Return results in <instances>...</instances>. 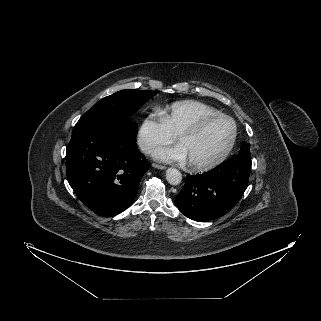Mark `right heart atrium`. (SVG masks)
<instances>
[{
    "label": "right heart atrium",
    "instance_id": "1",
    "mask_svg": "<svg viewBox=\"0 0 321 321\" xmlns=\"http://www.w3.org/2000/svg\"><path fill=\"white\" fill-rule=\"evenodd\" d=\"M137 138L140 148L150 154L155 149L170 144L174 135L166 128L161 114L153 112L141 122Z\"/></svg>",
    "mask_w": 321,
    "mask_h": 321
}]
</instances>
